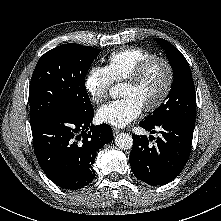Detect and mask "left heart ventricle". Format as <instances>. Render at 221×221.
Here are the masks:
<instances>
[{
	"instance_id": "left-heart-ventricle-1",
	"label": "left heart ventricle",
	"mask_w": 221,
	"mask_h": 221,
	"mask_svg": "<svg viewBox=\"0 0 221 221\" xmlns=\"http://www.w3.org/2000/svg\"><path fill=\"white\" fill-rule=\"evenodd\" d=\"M167 82V70L162 63H155L144 78L137 84L124 83L121 87L122 97L131 96L142 107L153 104L162 94Z\"/></svg>"
}]
</instances>
